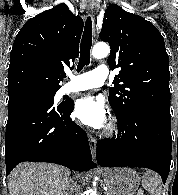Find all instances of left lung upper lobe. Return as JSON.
<instances>
[{
	"label": "left lung upper lobe",
	"instance_id": "1",
	"mask_svg": "<svg viewBox=\"0 0 178 195\" xmlns=\"http://www.w3.org/2000/svg\"><path fill=\"white\" fill-rule=\"evenodd\" d=\"M99 36L110 45V69L121 68L108 97L116 117L146 111L171 118L169 57L158 29L112 4L105 11Z\"/></svg>",
	"mask_w": 178,
	"mask_h": 195
}]
</instances>
